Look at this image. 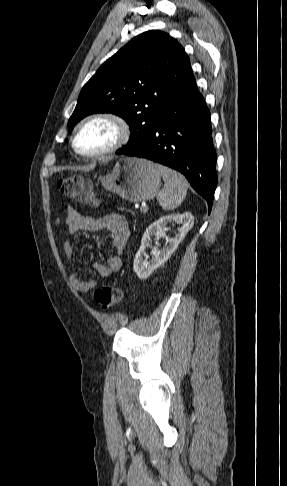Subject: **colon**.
Instances as JSON below:
<instances>
[{
    "instance_id": "5ec220e1",
    "label": "colon",
    "mask_w": 287,
    "mask_h": 486,
    "mask_svg": "<svg viewBox=\"0 0 287 486\" xmlns=\"http://www.w3.org/2000/svg\"><path fill=\"white\" fill-rule=\"evenodd\" d=\"M58 191L77 202L96 204V194L91 180L83 176H71L60 179L57 182ZM94 299L103 310H108L117 305L122 299V291L118 287L104 285L94 292Z\"/></svg>"
}]
</instances>
